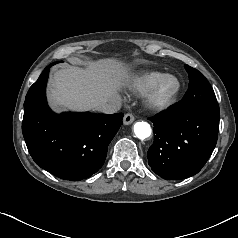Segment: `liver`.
Segmentation results:
<instances>
[{"instance_id":"liver-1","label":"liver","mask_w":238,"mask_h":238,"mask_svg":"<svg viewBox=\"0 0 238 238\" xmlns=\"http://www.w3.org/2000/svg\"><path fill=\"white\" fill-rule=\"evenodd\" d=\"M83 64L85 68L67 65L54 73L49 85V101L53 108L96 109L98 104L119 97L118 90L129 80L122 62L102 59Z\"/></svg>"}]
</instances>
